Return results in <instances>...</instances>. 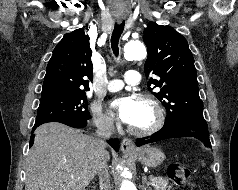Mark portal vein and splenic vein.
<instances>
[{
  "mask_svg": "<svg viewBox=\"0 0 238 190\" xmlns=\"http://www.w3.org/2000/svg\"><path fill=\"white\" fill-rule=\"evenodd\" d=\"M154 179H155V177H152V176L150 177V181H153Z\"/></svg>",
  "mask_w": 238,
  "mask_h": 190,
  "instance_id": "1",
  "label": "portal vein and splenic vein"
}]
</instances>
